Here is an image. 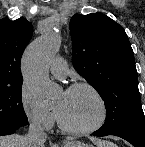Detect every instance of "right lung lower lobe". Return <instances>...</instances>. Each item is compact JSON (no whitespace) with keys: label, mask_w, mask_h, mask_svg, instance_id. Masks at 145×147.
<instances>
[{"label":"right lung lower lobe","mask_w":145,"mask_h":147,"mask_svg":"<svg viewBox=\"0 0 145 147\" xmlns=\"http://www.w3.org/2000/svg\"><path fill=\"white\" fill-rule=\"evenodd\" d=\"M22 127L14 128V129H6L0 130V135H9L15 133L17 130L21 129Z\"/></svg>","instance_id":"98d812e1"}]
</instances>
